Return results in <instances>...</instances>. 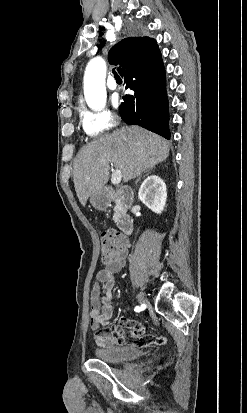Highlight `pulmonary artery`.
<instances>
[{
    "instance_id": "1",
    "label": "pulmonary artery",
    "mask_w": 247,
    "mask_h": 413,
    "mask_svg": "<svg viewBox=\"0 0 247 413\" xmlns=\"http://www.w3.org/2000/svg\"><path fill=\"white\" fill-rule=\"evenodd\" d=\"M106 85L112 91L118 89V83L112 75L108 77Z\"/></svg>"
}]
</instances>
